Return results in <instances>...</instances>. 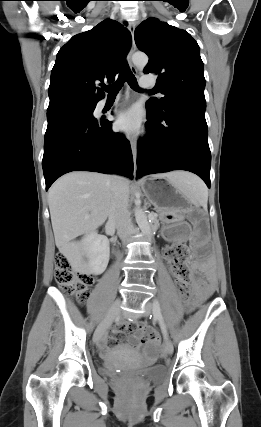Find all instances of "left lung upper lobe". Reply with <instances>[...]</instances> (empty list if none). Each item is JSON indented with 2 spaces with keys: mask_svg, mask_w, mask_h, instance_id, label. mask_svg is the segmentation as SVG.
<instances>
[{
  "mask_svg": "<svg viewBox=\"0 0 261 427\" xmlns=\"http://www.w3.org/2000/svg\"><path fill=\"white\" fill-rule=\"evenodd\" d=\"M135 42L149 56L144 73L158 76L156 87L165 95L160 100L149 99V107L161 112L181 98L205 102L200 48L188 32L151 17L136 28Z\"/></svg>",
  "mask_w": 261,
  "mask_h": 427,
  "instance_id": "1",
  "label": "left lung upper lobe"
}]
</instances>
